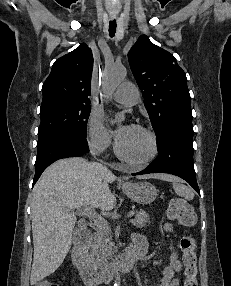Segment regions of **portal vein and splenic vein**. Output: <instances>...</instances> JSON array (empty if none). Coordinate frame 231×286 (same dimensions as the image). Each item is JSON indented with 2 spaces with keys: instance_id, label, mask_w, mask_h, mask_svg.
<instances>
[{
  "instance_id": "portal-vein-and-splenic-vein-1",
  "label": "portal vein and splenic vein",
  "mask_w": 231,
  "mask_h": 286,
  "mask_svg": "<svg viewBox=\"0 0 231 286\" xmlns=\"http://www.w3.org/2000/svg\"><path fill=\"white\" fill-rule=\"evenodd\" d=\"M78 213L80 215H85V216L89 217L91 220H93L94 224L98 228L102 229V228H105V227L109 226L107 220H105L103 217L98 215L96 213V211L93 209L92 206H86V207H84L82 209H78ZM134 214H135L134 211H129L128 214H127V217L131 218Z\"/></svg>"
}]
</instances>
